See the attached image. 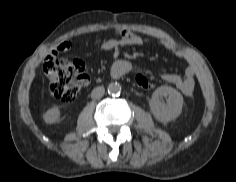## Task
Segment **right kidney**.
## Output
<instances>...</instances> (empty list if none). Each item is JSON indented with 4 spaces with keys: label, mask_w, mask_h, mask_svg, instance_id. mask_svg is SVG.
<instances>
[{
    "label": "right kidney",
    "mask_w": 236,
    "mask_h": 182,
    "mask_svg": "<svg viewBox=\"0 0 236 182\" xmlns=\"http://www.w3.org/2000/svg\"><path fill=\"white\" fill-rule=\"evenodd\" d=\"M60 118V110L58 107H52L48 109L44 115L43 119L47 124L56 123Z\"/></svg>",
    "instance_id": "right-kidney-1"
}]
</instances>
